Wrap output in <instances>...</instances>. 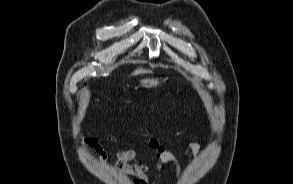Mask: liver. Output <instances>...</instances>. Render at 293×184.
<instances>
[{"label":"liver","mask_w":293,"mask_h":184,"mask_svg":"<svg viewBox=\"0 0 293 184\" xmlns=\"http://www.w3.org/2000/svg\"><path fill=\"white\" fill-rule=\"evenodd\" d=\"M145 72H148V71L145 70V69L139 68V69H136L133 74L137 75V74H142V73H145Z\"/></svg>","instance_id":"1"}]
</instances>
